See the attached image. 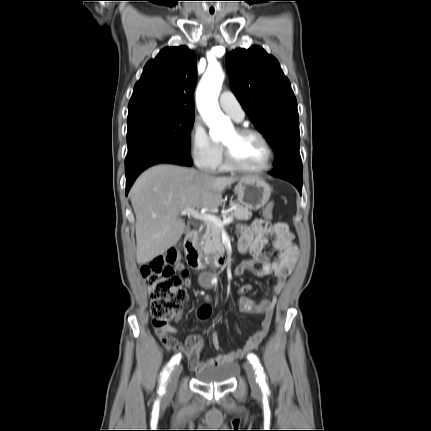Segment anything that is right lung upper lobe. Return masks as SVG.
Wrapping results in <instances>:
<instances>
[{
    "label": "right lung upper lobe",
    "mask_w": 431,
    "mask_h": 431,
    "mask_svg": "<svg viewBox=\"0 0 431 431\" xmlns=\"http://www.w3.org/2000/svg\"><path fill=\"white\" fill-rule=\"evenodd\" d=\"M196 56L185 46L166 47L147 62L135 84L128 118L146 113L194 114Z\"/></svg>",
    "instance_id": "obj_1"
}]
</instances>
